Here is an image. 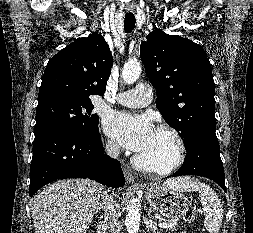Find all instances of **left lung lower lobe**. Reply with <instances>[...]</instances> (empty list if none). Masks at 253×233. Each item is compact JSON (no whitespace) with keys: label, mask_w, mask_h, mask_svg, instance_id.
Segmentation results:
<instances>
[{"label":"left lung lower lobe","mask_w":253,"mask_h":233,"mask_svg":"<svg viewBox=\"0 0 253 233\" xmlns=\"http://www.w3.org/2000/svg\"><path fill=\"white\" fill-rule=\"evenodd\" d=\"M186 156L183 165L172 175H198L215 181L226 192L224 169L216 134L199 132L185 145Z\"/></svg>","instance_id":"0a47b994"}]
</instances>
